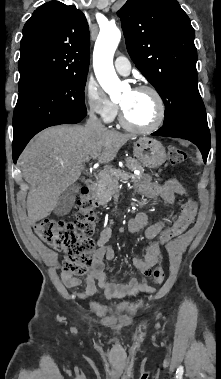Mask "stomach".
<instances>
[{"instance_id": "obj_1", "label": "stomach", "mask_w": 221, "mask_h": 379, "mask_svg": "<svg viewBox=\"0 0 221 379\" xmlns=\"http://www.w3.org/2000/svg\"><path fill=\"white\" fill-rule=\"evenodd\" d=\"M134 155L149 168H158L167 159L163 145L153 138L140 137L134 143Z\"/></svg>"}]
</instances>
